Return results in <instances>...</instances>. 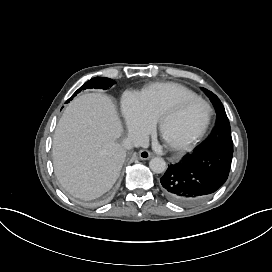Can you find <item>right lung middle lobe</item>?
Wrapping results in <instances>:
<instances>
[{"mask_svg": "<svg viewBox=\"0 0 272 272\" xmlns=\"http://www.w3.org/2000/svg\"><path fill=\"white\" fill-rule=\"evenodd\" d=\"M115 83L114 80H111L109 78L105 77H95L91 80L87 81L81 88H79L69 99L67 102H69L77 93H79L81 90L87 89V88H101V89H107L111 87Z\"/></svg>", "mask_w": 272, "mask_h": 272, "instance_id": "obj_1", "label": "right lung middle lobe"}]
</instances>
